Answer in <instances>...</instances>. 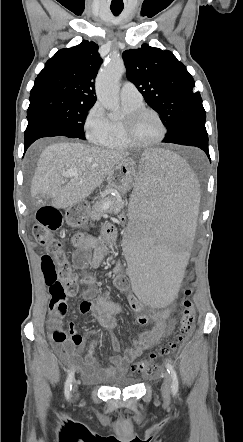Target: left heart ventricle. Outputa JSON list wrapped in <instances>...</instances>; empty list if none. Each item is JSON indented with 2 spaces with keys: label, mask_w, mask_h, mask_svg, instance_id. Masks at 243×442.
Masks as SVG:
<instances>
[{
  "label": "left heart ventricle",
  "mask_w": 243,
  "mask_h": 442,
  "mask_svg": "<svg viewBox=\"0 0 243 442\" xmlns=\"http://www.w3.org/2000/svg\"><path fill=\"white\" fill-rule=\"evenodd\" d=\"M161 126L157 118L150 113L140 117L135 125L133 137L140 143H150L159 138Z\"/></svg>",
  "instance_id": "left-heart-ventricle-1"
}]
</instances>
